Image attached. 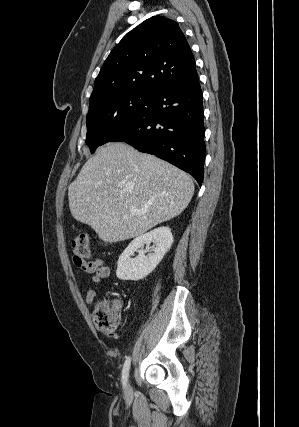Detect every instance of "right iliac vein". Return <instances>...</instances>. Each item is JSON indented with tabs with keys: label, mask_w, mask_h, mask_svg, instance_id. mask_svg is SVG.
I'll return each instance as SVG.
<instances>
[{
	"label": "right iliac vein",
	"mask_w": 299,
	"mask_h": 427,
	"mask_svg": "<svg viewBox=\"0 0 299 427\" xmlns=\"http://www.w3.org/2000/svg\"><path fill=\"white\" fill-rule=\"evenodd\" d=\"M126 391H128V392H129V391H131V386H130V384H129V383H128V384H127V386H126Z\"/></svg>",
	"instance_id": "obj_1"
}]
</instances>
